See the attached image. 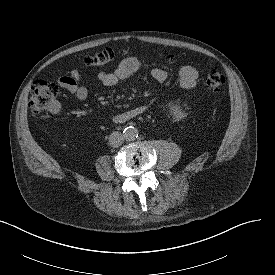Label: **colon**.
<instances>
[{
    "instance_id": "1",
    "label": "colon",
    "mask_w": 275,
    "mask_h": 275,
    "mask_svg": "<svg viewBox=\"0 0 275 275\" xmlns=\"http://www.w3.org/2000/svg\"><path fill=\"white\" fill-rule=\"evenodd\" d=\"M115 58V50L106 48L103 51L89 56L85 59L86 64L99 68L109 64ZM205 84L212 93L220 92L225 86L224 75L215 68H210L206 72ZM58 99V90L55 84L36 80L32 85L30 110L33 114L39 115L52 107Z\"/></svg>"
}]
</instances>
